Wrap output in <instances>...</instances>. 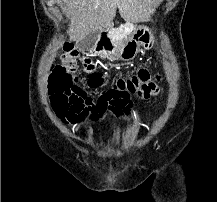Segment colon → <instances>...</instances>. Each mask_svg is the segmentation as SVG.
Listing matches in <instances>:
<instances>
[{"label": "colon", "mask_w": 217, "mask_h": 202, "mask_svg": "<svg viewBox=\"0 0 217 202\" xmlns=\"http://www.w3.org/2000/svg\"><path fill=\"white\" fill-rule=\"evenodd\" d=\"M64 55H55L54 59L64 67H51L49 91L51 103L56 117H77V120H64V125H79V120L89 116L92 119H103L110 114L118 121L127 122L130 118L131 93L140 97L156 96L161 89L151 79L146 69H135V75L119 79L111 86L100 91H91L73 82V78H81L78 73L77 55H82L78 47H66ZM74 111V112H67Z\"/></svg>", "instance_id": "obj_1"}]
</instances>
